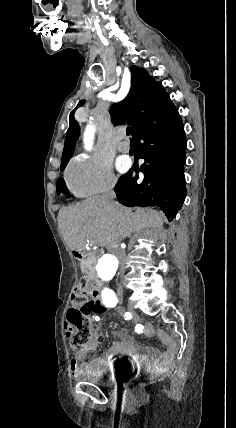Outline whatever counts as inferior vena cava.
<instances>
[{
    "label": "inferior vena cava",
    "instance_id": "1",
    "mask_svg": "<svg viewBox=\"0 0 236 428\" xmlns=\"http://www.w3.org/2000/svg\"><path fill=\"white\" fill-rule=\"evenodd\" d=\"M115 186V180H112V182H110L109 186H108V194H105L104 198L105 200H107V202H109V206L110 208H114V202H112L113 198H116V194L115 192H113V188ZM111 242H110V252H112V254H115L116 257H118L117 259L120 261L119 265H120V276L122 277L125 272V268H126V262H125V249L122 248H118L117 246V242L120 240V237L117 234H114L111 237ZM118 287L120 285H123V282H118L116 284ZM118 293L119 295H122L123 293V288L120 286L118 288Z\"/></svg>",
    "mask_w": 236,
    "mask_h": 428
}]
</instances>
